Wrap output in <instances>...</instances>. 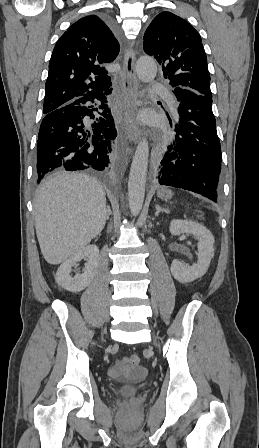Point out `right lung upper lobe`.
I'll return each instance as SVG.
<instances>
[{
  "mask_svg": "<svg viewBox=\"0 0 259 448\" xmlns=\"http://www.w3.org/2000/svg\"><path fill=\"white\" fill-rule=\"evenodd\" d=\"M118 53V41L98 16L89 15L71 25L51 55L43 113L111 89L105 68Z\"/></svg>",
  "mask_w": 259,
  "mask_h": 448,
  "instance_id": "cb5924a9",
  "label": "right lung upper lobe"
}]
</instances>
